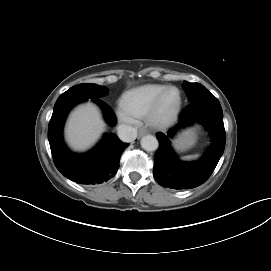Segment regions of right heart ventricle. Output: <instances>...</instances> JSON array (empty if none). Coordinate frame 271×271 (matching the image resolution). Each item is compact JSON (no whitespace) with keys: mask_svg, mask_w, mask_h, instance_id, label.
<instances>
[{"mask_svg":"<svg viewBox=\"0 0 271 271\" xmlns=\"http://www.w3.org/2000/svg\"><path fill=\"white\" fill-rule=\"evenodd\" d=\"M167 86L146 84L126 91L121 97V107L134 118L147 116L156 97Z\"/></svg>","mask_w":271,"mask_h":271,"instance_id":"right-heart-ventricle-1","label":"right heart ventricle"}]
</instances>
